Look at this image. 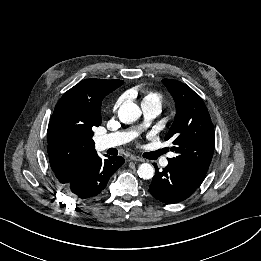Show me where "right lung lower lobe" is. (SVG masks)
<instances>
[{"label":"right lung lower lobe","mask_w":261,"mask_h":261,"mask_svg":"<svg viewBox=\"0 0 261 261\" xmlns=\"http://www.w3.org/2000/svg\"><path fill=\"white\" fill-rule=\"evenodd\" d=\"M102 159L91 155L76 175L65 184L67 192L77 200L89 201L100 196L110 177L123 165L121 156Z\"/></svg>","instance_id":"obj_1"}]
</instances>
